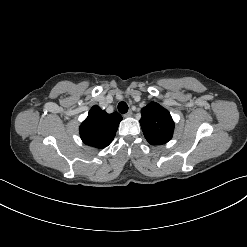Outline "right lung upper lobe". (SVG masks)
Masks as SVG:
<instances>
[{"mask_svg":"<svg viewBox=\"0 0 247 247\" xmlns=\"http://www.w3.org/2000/svg\"><path fill=\"white\" fill-rule=\"evenodd\" d=\"M121 120L119 113L108 114L97 105L93 106L80 126L82 141L98 149L105 148L113 141Z\"/></svg>","mask_w":247,"mask_h":247,"instance_id":"cb5924a9","label":"right lung upper lobe"}]
</instances>
